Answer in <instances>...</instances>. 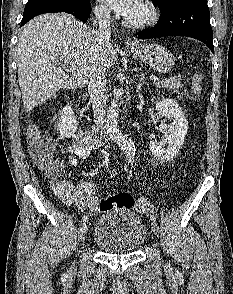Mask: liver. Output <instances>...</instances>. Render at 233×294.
I'll return each instance as SVG.
<instances>
[{"instance_id": "1", "label": "liver", "mask_w": 233, "mask_h": 294, "mask_svg": "<svg viewBox=\"0 0 233 294\" xmlns=\"http://www.w3.org/2000/svg\"><path fill=\"white\" fill-rule=\"evenodd\" d=\"M113 43L99 46L95 31L68 14H43L23 28L17 46L22 100L31 111L60 89L89 82V69L100 56L106 69L117 61ZM65 64L69 68L63 67ZM74 67V68H73Z\"/></svg>"}]
</instances>
